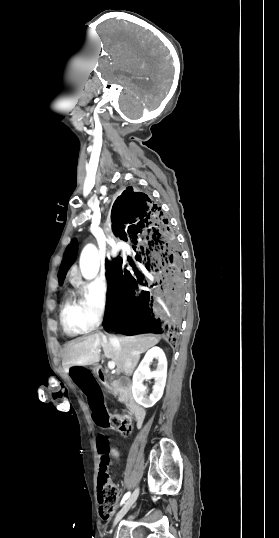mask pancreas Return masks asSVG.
I'll use <instances>...</instances> for the list:
<instances>
[{
	"mask_svg": "<svg viewBox=\"0 0 279 538\" xmlns=\"http://www.w3.org/2000/svg\"><path fill=\"white\" fill-rule=\"evenodd\" d=\"M113 396H117V394H113ZM119 402H120V398H119Z\"/></svg>",
	"mask_w": 279,
	"mask_h": 538,
	"instance_id": "obj_1",
	"label": "pancreas"
}]
</instances>
